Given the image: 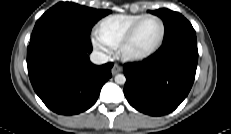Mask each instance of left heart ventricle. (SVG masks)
<instances>
[{
    "label": "left heart ventricle",
    "mask_w": 231,
    "mask_h": 134,
    "mask_svg": "<svg viewBox=\"0 0 231 134\" xmlns=\"http://www.w3.org/2000/svg\"><path fill=\"white\" fill-rule=\"evenodd\" d=\"M161 35V24L157 19L150 18L139 27L134 39L128 46L130 54H142L151 50Z\"/></svg>",
    "instance_id": "1"
}]
</instances>
